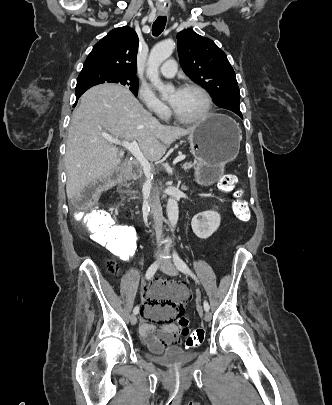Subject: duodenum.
<instances>
[{"label":"duodenum","instance_id":"duodenum-1","mask_svg":"<svg viewBox=\"0 0 332 405\" xmlns=\"http://www.w3.org/2000/svg\"><path fill=\"white\" fill-rule=\"evenodd\" d=\"M136 167L132 166L131 168L121 172L119 174V178L123 181H127L132 177L133 172L135 171Z\"/></svg>","mask_w":332,"mask_h":405}]
</instances>
